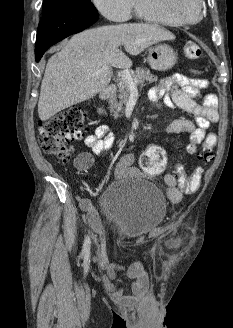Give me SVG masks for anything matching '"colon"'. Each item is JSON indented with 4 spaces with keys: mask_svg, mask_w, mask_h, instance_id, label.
I'll return each instance as SVG.
<instances>
[{
    "mask_svg": "<svg viewBox=\"0 0 233 328\" xmlns=\"http://www.w3.org/2000/svg\"><path fill=\"white\" fill-rule=\"evenodd\" d=\"M184 53L189 59L200 56L201 50L197 43L188 41L184 46ZM88 114L82 108H72L43 122L39 128V143L42 150L62 161H69L73 157L71 142L83 136ZM216 136L209 133L204 141L203 150L199 154L202 163L208 164L214 159ZM87 155L78 156L79 163L87 161ZM142 170L148 175L161 173L166 165L164 150L156 145L145 149L140 158ZM202 168L197 167L191 175H187L181 165L175 167L174 174L181 191L185 194L196 192L201 184Z\"/></svg>",
    "mask_w": 233,
    "mask_h": 328,
    "instance_id": "obj_1",
    "label": "colon"
}]
</instances>
